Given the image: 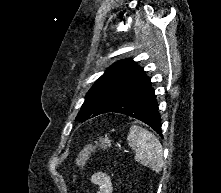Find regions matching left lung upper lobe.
<instances>
[{"instance_id": "1", "label": "left lung upper lobe", "mask_w": 221, "mask_h": 193, "mask_svg": "<svg viewBox=\"0 0 221 193\" xmlns=\"http://www.w3.org/2000/svg\"><path fill=\"white\" fill-rule=\"evenodd\" d=\"M144 74L143 68L131 59L114 63L88 91L76 120L85 121L102 114L127 86Z\"/></svg>"}]
</instances>
